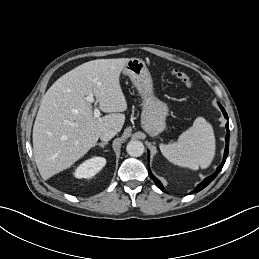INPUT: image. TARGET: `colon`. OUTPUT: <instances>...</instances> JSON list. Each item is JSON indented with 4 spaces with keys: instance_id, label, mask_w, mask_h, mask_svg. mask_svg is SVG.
I'll return each mask as SVG.
<instances>
[{
    "instance_id": "colon-1",
    "label": "colon",
    "mask_w": 259,
    "mask_h": 259,
    "mask_svg": "<svg viewBox=\"0 0 259 259\" xmlns=\"http://www.w3.org/2000/svg\"><path fill=\"white\" fill-rule=\"evenodd\" d=\"M172 75L180 80L187 88H191L194 84L190 75L184 71L175 69L172 71Z\"/></svg>"
}]
</instances>
